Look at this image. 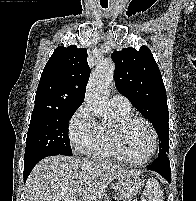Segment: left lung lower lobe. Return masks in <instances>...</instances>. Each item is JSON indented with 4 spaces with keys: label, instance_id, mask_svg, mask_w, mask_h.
Returning a JSON list of instances; mask_svg holds the SVG:
<instances>
[{
    "label": "left lung lower lobe",
    "instance_id": "0a47b994",
    "mask_svg": "<svg viewBox=\"0 0 196 201\" xmlns=\"http://www.w3.org/2000/svg\"><path fill=\"white\" fill-rule=\"evenodd\" d=\"M147 169L158 172L169 183L171 182V168L167 154L158 156V158L150 166H148Z\"/></svg>",
    "mask_w": 196,
    "mask_h": 201
}]
</instances>
